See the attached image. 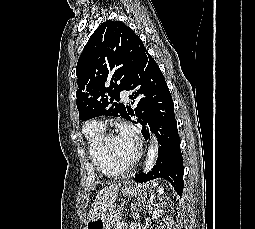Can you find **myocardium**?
Listing matches in <instances>:
<instances>
[{"mask_svg":"<svg viewBox=\"0 0 255 229\" xmlns=\"http://www.w3.org/2000/svg\"><path fill=\"white\" fill-rule=\"evenodd\" d=\"M115 136H117V135L114 132L104 133L99 140L98 150H99L100 154L109 162V164L111 166H113L116 169L122 170L124 172V170L130 169L137 163V161L139 160V158L141 156V147L137 146L136 154L130 161L120 162V161L114 160L108 152L107 143L110 138L115 137Z\"/></svg>","mask_w":255,"mask_h":229,"instance_id":"obj_1","label":"myocardium"}]
</instances>
